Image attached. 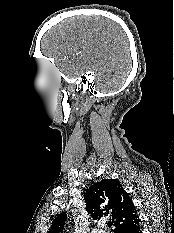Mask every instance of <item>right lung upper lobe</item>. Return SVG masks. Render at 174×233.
Instances as JSON below:
<instances>
[{
    "label": "right lung upper lobe",
    "mask_w": 174,
    "mask_h": 233,
    "mask_svg": "<svg viewBox=\"0 0 174 233\" xmlns=\"http://www.w3.org/2000/svg\"><path fill=\"white\" fill-rule=\"evenodd\" d=\"M84 200L86 211L93 219L109 217L112 220L114 233H128L140 225L132 200L117 180L105 179L93 184L86 191ZM66 219V212L57 215L48 233H63Z\"/></svg>",
    "instance_id": "cb5924a9"
}]
</instances>
